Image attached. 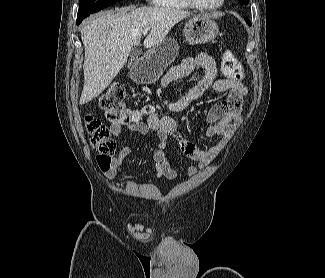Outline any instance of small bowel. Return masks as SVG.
I'll return each mask as SVG.
<instances>
[{
	"mask_svg": "<svg viewBox=\"0 0 325 278\" xmlns=\"http://www.w3.org/2000/svg\"><path fill=\"white\" fill-rule=\"evenodd\" d=\"M197 68L204 69L202 78L189 91L175 101L165 100L164 105L169 112L180 113L185 111L191 103L197 101L206 90L226 92L225 100L215 103L206 115L208 137L219 136L220 140L210 148H201L189 141L179 130L177 122L169 115L152 113L146 122L138 121L127 125L112 123L111 132L119 136L124 130L146 135L155 132L158 142L151 149L152 165L156 170L157 177H165L169 180L178 178L167 158V141L172 137L179 150L198 166L190 164L187 166V176H195L199 169L205 168L216 154L226 146L232 138L235 130L242 121V102L247 95V87L240 81L221 79L217 77V66L215 60L206 53H200L195 57H186L179 64L173 66L162 79V88L172 81L184 78L193 73ZM131 149L129 146L121 148L112 159L109 169L105 172L108 179L121 175L126 159ZM135 230H137L135 228Z\"/></svg>",
	"mask_w": 325,
	"mask_h": 278,
	"instance_id": "c3829d8e",
	"label": "small bowel"
}]
</instances>
